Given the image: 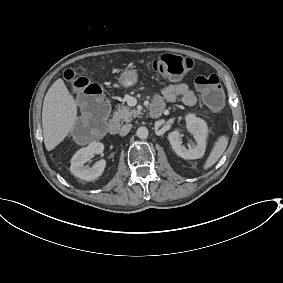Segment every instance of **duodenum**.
Returning a JSON list of instances; mask_svg holds the SVG:
<instances>
[{"label": "duodenum", "instance_id": "duodenum-1", "mask_svg": "<svg viewBox=\"0 0 283 283\" xmlns=\"http://www.w3.org/2000/svg\"><path fill=\"white\" fill-rule=\"evenodd\" d=\"M163 107L158 103H154L148 110V115L151 118H158L162 115ZM119 131V123L116 120H112L108 124V132L111 135L116 134Z\"/></svg>", "mask_w": 283, "mask_h": 283}]
</instances>
